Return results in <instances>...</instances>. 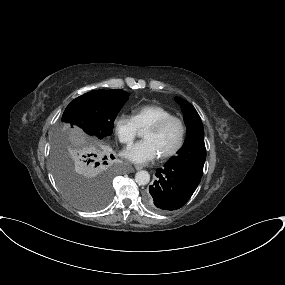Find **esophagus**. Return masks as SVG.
I'll list each match as a JSON object with an SVG mask.
<instances>
[{
	"instance_id": "obj_1",
	"label": "esophagus",
	"mask_w": 285,
	"mask_h": 285,
	"mask_svg": "<svg viewBox=\"0 0 285 285\" xmlns=\"http://www.w3.org/2000/svg\"><path fill=\"white\" fill-rule=\"evenodd\" d=\"M141 169H142V167L137 166L135 169L134 168H130L129 172H134L135 170H141Z\"/></svg>"
}]
</instances>
